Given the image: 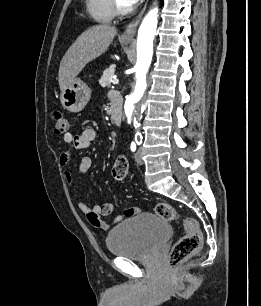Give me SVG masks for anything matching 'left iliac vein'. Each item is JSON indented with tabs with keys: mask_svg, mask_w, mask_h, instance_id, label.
Listing matches in <instances>:
<instances>
[{
	"mask_svg": "<svg viewBox=\"0 0 261 306\" xmlns=\"http://www.w3.org/2000/svg\"><path fill=\"white\" fill-rule=\"evenodd\" d=\"M135 161L139 165H143L144 164V161L142 159V150H141V148H138L136 153H135Z\"/></svg>",
	"mask_w": 261,
	"mask_h": 306,
	"instance_id": "1",
	"label": "left iliac vein"
}]
</instances>
